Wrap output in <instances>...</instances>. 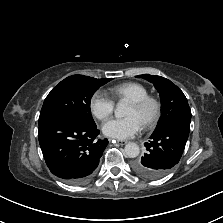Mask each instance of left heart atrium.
Listing matches in <instances>:
<instances>
[{
	"label": "left heart atrium",
	"mask_w": 223,
	"mask_h": 223,
	"mask_svg": "<svg viewBox=\"0 0 223 223\" xmlns=\"http://www.w3.org/2000/svg\"><path fill=\"white\" fill-rule=\"evenodd\" d=\"M141 128V123L134 116L114 118L103 125V133L114 139H127L135 135Z\"/></svg>",
	"instance_id": "1"
}]
</instances>
